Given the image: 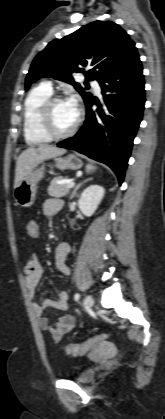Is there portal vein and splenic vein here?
Listing matches in <instances>:
<instances>
[{"label": "portal vein and splenic vein", "mask_w": 165, "mask_h": 419, "mask_svg": "<svg viewBox=\"0 0 165 419\" xmlns=\"http://www.w3.org/2000/svg\"><path fill=\"white\" fill-rule=\"evenodd\" d=\"M75 186V182L70 181L67 183V188H73Z\"/></svg>", "instance_id": "portal-vein-and-splenic-vein-1"}]
</instances>
